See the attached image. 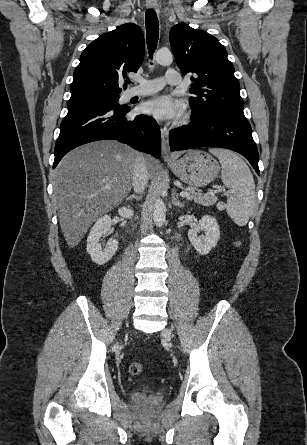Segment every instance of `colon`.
<instances>
[{
  "label": "colon",
  "mask_w": 307,
  "mask_h": 445,
  "mask_svg": "<svg viewBox=\"0 0 307 445\" xmlns=\"http://www.w3.org/2000/svg\"><path fill=\"white\" fill-rule=\"evenodd\" d=\"M236 245H240V242L237 241ZM128 371L131 375H139L143 371V366L140 363H131L129 365Z\"/></svg>",
  "instance_id": "1"
}]
</instances>
